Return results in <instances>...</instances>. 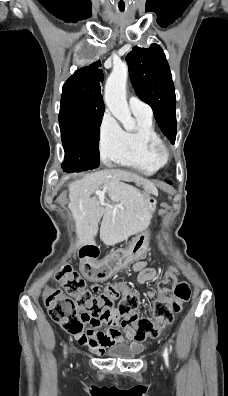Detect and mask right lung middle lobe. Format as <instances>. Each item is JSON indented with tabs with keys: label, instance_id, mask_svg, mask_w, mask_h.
<instances>
[{
	"label": "right lung middle lobe",
	"instance_id": "right-lung-middle-lobe-1",
	"mask_svg": "<svg viewBox=\"0 0 228 396\" xmlns=\"http://www.w3.org/2000/svg\"><path fill=\"white\" fill-rule=\"evenodd\" d=\"M104 109H86L72 98H61L59 123L65 150V172H81L97 168L99 160L100 124Z\"/></svg>",
	"mask_w": 228,
	"mask_h": 396
}]
</instances>
